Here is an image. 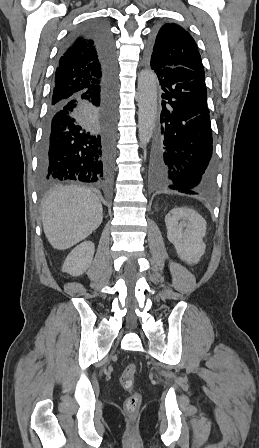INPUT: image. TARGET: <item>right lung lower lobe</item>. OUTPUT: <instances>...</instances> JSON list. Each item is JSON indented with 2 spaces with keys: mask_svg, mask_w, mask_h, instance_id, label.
<instances>
[{
  "mask_svg": "<svg viewBox=\"0 0 259 448\" xmlns=\"http://www.w3.org/2000/svg\"><path fill=\"white\" fill-rule=\"evenodd\" d=\"M94 42L103 68L98 88L49 103L38 151L42 184L103 182L110 178L115 150V49L109 26L91 23L72 31L63 53L78 38ZM58 60V61H59Z\"/></svg>",
  "mask_w": 259,
  "mask_h": 448,
  "instance_id": "obj_1",
  "label": "right lung lower lobe"
}]
</instances>
